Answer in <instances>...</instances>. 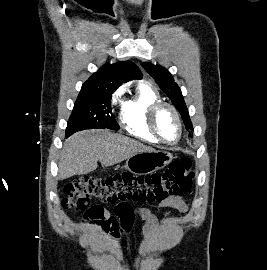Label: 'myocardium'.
Wrapping results in <instances>:
<instances>
[{
    "label": "myocardium",
    "mask_w": 267,
    "mask_h": 270,
    "mask_svg": "<svg viewBox=\"0 0 267 270\" xmlns=\"http://www.w3.org/2000/svg\"><path fill=\"white\" fill-rule=\"evenodd\" d=\"M163 108H168L172 111V113L174 114L177 123H178V128H179V134L177 139L174 142H169L167 140H165L157 127V116L159 114V112L163 109ZM147 122H148V127L151 131V133L153 134V136L161 143L165 144V145H176L177 143H179V141L182 138L183 135V123L180 117V114L178 112V110L170 103L168 102H164V101H159L154 103L148 111V117H147Z\"/></svg>",
    "instance_id": "f54148a6"
}]
</instances>
